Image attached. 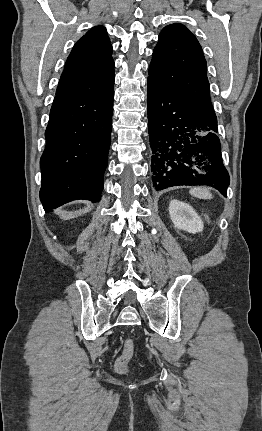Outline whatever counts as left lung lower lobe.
<instances>
[{"label":"left lung lower lobe","mask_w":262,"mask_h":431,"mask_svg":"<svg viewBox=\"0 0 262 431\" xmlns=\"http://www.w3.org/2000/svg\"><path fill=\"white\" fill-rule=\"evenodd\" d=\"M148 131L153 187L207 185L226 196L229 174L217 123L170 91L148 81Z\"/></svg>","instance_id":"obj_1"}]
</instances>
